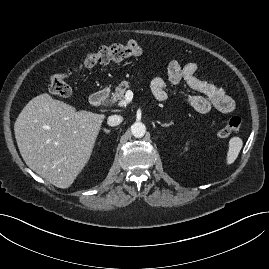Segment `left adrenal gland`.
<instances>
[{
  "label": "left adrenal gland",
  "mask_w": 269,
  "mask_h": 269,
  "mask_svg": "<svg viewBox=\"0 0 269 269\" xmlns=\"http://www.w3.org/2000/svg\"><path fill=\"white\" fill-rule=\"evenodd\" d=\"M171 125H172V122H170V123H165V124H161L162 127H169V126H171Z\"/></svg>",
  "instance_id": "1"
}]
</instances>
